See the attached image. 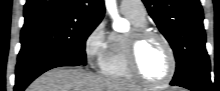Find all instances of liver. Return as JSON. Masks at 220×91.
Here are the masks:
<instances>
[{
  "instance_id": "liver-1",
  "label": "liver",
  "mask_w": 220,
  "mask_h": 91,
  "mask_svg": "<svg viewBox=\"0 0 220 91\" xmlns=\"http://www.w3.org/2000/svg\"><path fill=\"white\" fill-rule=\"evenodd\" d=\"M26 91H138L129 83L105 78L80 67H59L38 77Z\"/></svg>"
}]
</instances>
